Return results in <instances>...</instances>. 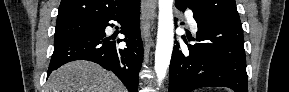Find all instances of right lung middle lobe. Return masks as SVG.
Segmentation results:
<instances>
[{
  "label": "right lung middle lobe",
  "mask_w": 289,
  "mask_h": 92,
  "mask_svg": "<svg viewBox=\"0 0 289 92\" xmlns=\"http://www.w3.org/2000/svg\"><path fill=\"white\" fill-rule=\"evenodd\" d=\"M99 22L76 21L57 24L55 29L54 45L60 44L71 38L87 35L95 32Z\"/></svg>",
  "instance_id": "right-lung-middle-lobe-1"
}]
</instances>
